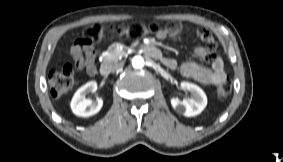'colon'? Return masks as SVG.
I'll use <instances>...</instances> for the list:
<instances>
[{
    "label": "colon",
    "instance_id": "1",
    "mask_svg": "<svg viewBox=\"0 0 283 162\" xmlns=\"http://www.w3.org/2000/svg\"><path fill=\"white\" fill-rule=\"evenodd\" d=\"M156 24H131L127 26H118L114 33L129 38H139L145 34H156L159 31ZM107 29L101 23L89 25L84 30V39L89 43L100 42L106 37ZM48 83L50 93L53 97L58 98L67 93L74 84L73 70L71 65L65 64L53 68L48 74ZM232 92V83L225 79L217 86V96L220 99L227 98Z\"/></svg>",
    "mask_w": 283,
    "mask_h": 162
}]
</instances>
